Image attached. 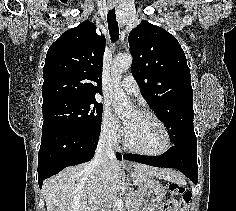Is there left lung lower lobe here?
I'll return each mask as SVG.
<instances>
[{"label": "left lung lower lobe", "mask_w": 236, "mask_h": 211, "mask_svg": "<svg viewBox=\"0 0 236 211\" xmlns=\"http://www.w3.org/2000/svg\"><path fill=\"white\" fill-rule=\"evenodd\" d=\"M127 160L148 164L156 167L176 168L185 174L194 184L197 183V147L174 146L161 156H141L125 154Z\"/></svg>", "instance_id": "0a47b994"}]
</instances>
